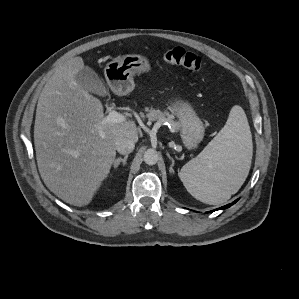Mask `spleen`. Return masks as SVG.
Instances as JSON below:
<instances>
[{
  "instance_id": "obj_1",
  "label": "spleen",
  "mask_w": 299,
  "mask_h": 299,
  "mask_svg": "<svg viewBox=\"0 0 299 299\" xmlns=\"http://www.w3.org/2000/svg\"><path fill=\"white\" fill-rule=\"evenodd\" d=\"M252 135L242 107H232L225 126L180 170L187 191L207 204L230 199L246 180L252 159Z\"/></svg>"
}]
</instances>
